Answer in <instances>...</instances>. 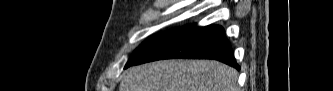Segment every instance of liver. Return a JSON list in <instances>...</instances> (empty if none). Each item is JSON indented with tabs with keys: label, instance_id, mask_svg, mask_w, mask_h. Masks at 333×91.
<instances>
[{
	"label": "liver",
	"instance_id": "liver-1",
	"mask_svg": "<svg viewBox=\"0 0 333 91\" xmlns=\"http://www.w3.org/2000/svg\"><path fill=\"white\" fill-rule=\"evenodd\" d=\"M237 71L210 60H164L128 69L119 91H238Z\"/></svg>",
	"mask_w": 333,
	"mask_h": 91
}]
</instances>
